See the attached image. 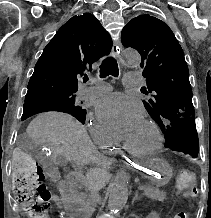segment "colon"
<instances>
[{
	"mask_svg": "<svg viewBox=\"0 0 211 218\" xmlns=\"http://www.w3.org/2000/svg\"><path fill=\"white\" fill-rule=\"evenodd\" d=\"M13 188L25 214L31 218H47L51 194L44 184V171L38 160L27 150L14 152L12 160ZM177 184L185 196L196 194V175L183 169L177 177ZM174 218H190L187 213H178Z\"/></svg>",
	"mask_w": 211,
	"mask_h": 218,
	"instance_id": "obj_1",
	"label": "colon"
}]
</instances>
